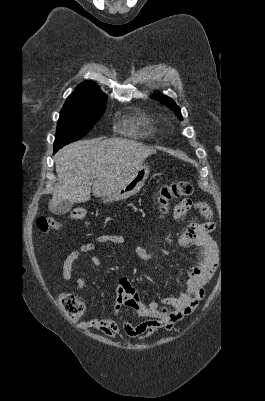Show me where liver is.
Instances as JSON below:
<instances>
[{"mask_svg": "<svg viewBox=\"0 0 265 401\" xmlns=\"http://www.w3.org/2000/svg\"><path fill=\"white\" fill-rule=\"evenodd\" d=\"M102 138L72 142L55 154L58 182L53 188V207L62 201L86 203L91 190L94 196L114 192L156 152L154 146L137 140Z\"/></svg>", "mask_w": 265, "mask_h": 401, "instance_id": "6515ba94", "label": "liver"}]
</instances>
